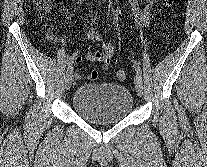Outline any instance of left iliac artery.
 Returning <instances> with one entry per match:
<instances>
[{"mask_svg": "<svg viewBox=\"0 0 207 167\" xmlns=\"http://www.w3.org/2000/svg\"><path fill=\"white\" fill-rule=\"evenodd\" d=\"M134 67H135L136 73L139 76H142L141 68H140V66L138 65V63L136 61H134Z\"/></svg>", "mask_w": 207, "mask_h": 167, "instance_id": "1", "label": "left iliac artery"}]
</instances>
